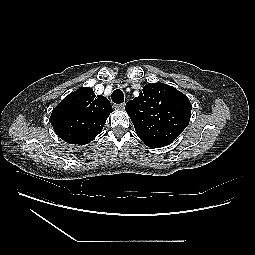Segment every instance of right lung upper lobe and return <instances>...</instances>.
I'll list each match as a JSON object with an SVG mask.
<instances>
[{
  "instance_id": "obj_1",
  "label": "right lung upper lobe",
  "mask_w": 255,
  "mask_h": 255,
  "mask_svg": "<svg viewBox=\"0 0 255 255\" xmlns=\"http://www.w3.org/2000/svg\"><path fill=\"white\" fill-rule=\"evenodd\" d=\"M112 112L108 99L95 95L90 87L80 88L66 96L52 111L51 125L65 142L87 144L101 133Z\"/></svg>"
}]
</instances>
